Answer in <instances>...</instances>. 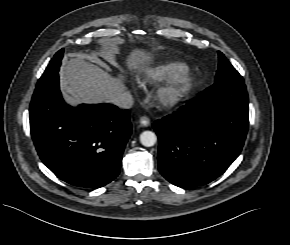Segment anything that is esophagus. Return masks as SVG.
<instances>
[{"label": "esophagus", "mask_w": 290, "mask_h": 245, "mask_svg": "<svg viewBox=\"0 0 290 245\" xmlns=\"http://www.w3.org/2000/svg\"><path fill=\"white\" fill-rule=\"evenodd\" d=\"M139 123L144 127H148L150 125V120L147 116H142L139 119Z\"/></svg>", "instance_id": "obj_1"}]
</instances>
